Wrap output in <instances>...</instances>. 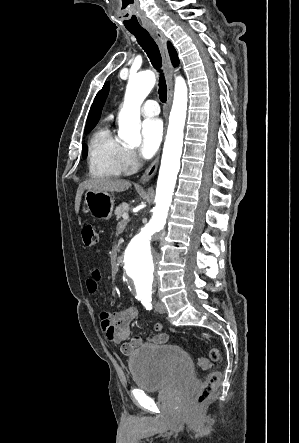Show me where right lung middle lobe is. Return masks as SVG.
I'll use <instances>...</instances> for the list:
<instances>
[{"mask_svg": "<svg viewBox=\"0 0 299 443\" xmlns=\"http://www.w3.org/2000/svg\"><path fill=\"white\" fill-rule=\"evenodd\" d=\"M95 125L96 124L86 126L85 127V134L89 133L94 128ZM86 155H87V149H86V146H84L83 147V156L86 157Z\"/></svg>", "mask_w": 299, "mask_h": 443, "instance_id": "obj_1", "label": "right lung middle lobe"}]
</instances>
